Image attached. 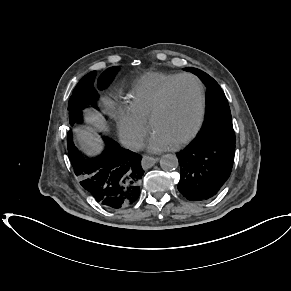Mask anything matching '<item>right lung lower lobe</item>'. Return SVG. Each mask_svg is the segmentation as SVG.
<instances>
[{
  "label": "right lung lower lobe",
  "instance_id": "98d812e1",
  "mask_svg": "<svg viewBox=\"0 0 291 291\" xmlns=\"http://www.w3.org/2000/svg\"><path fill=\"white\" fill-rule=\"evenodd\" d=\"M105 151L97 158L85 159L74 146L68 145V156L81 186L97 202L110 209L125 208L140 196V182L144 174L141 156L104 138Z\"/></svg>",
  "mask_w": 291,
  "mask_h": 291
}]
</instances>
